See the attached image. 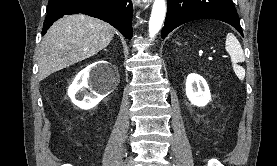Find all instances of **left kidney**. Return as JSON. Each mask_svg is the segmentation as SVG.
<instances>
[{
	"instance_id": "obj_1",
	"label": "left kidney",
	"mask_w": 277,
	"mask_h": 166,
	"mask_svg": "<svg viewBox=\"0 0 277 166\" xmlns=\"http://www.w3.org/2000/svg\"><path fill=\"white\" fill-rule=\"evenodd\" d=\"M186 95L189 101L198 107H204L211 101V94L207 82L202 76L195 73L187 77Z\"/></svg>"
}]
</instances>
